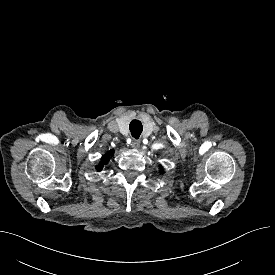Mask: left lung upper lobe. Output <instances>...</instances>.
<instances>
[{
	"instance_id": "left-lung-upper-lobe-1",
	"label": "left lung upper lobe",
	"mask_w": 275,
	"mask_h": 275,
	"mask_svg": "<svg viewBox=\"0 0 275 275\" xmlns=\"http://www.w3.org/2000/svg\"><path fill=\"white\" fill-rule=\"evenodd\" d=\"M160 171L163 172V169L161 168Z\"/></svg>"
}]
</instances>
